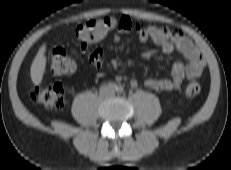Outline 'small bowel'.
I'll return each instance as SVG.
<instances>
[{
	"instance_id": "c3829d8e",
	"label": "small bowel",
	"mask_w": 231,
	"mask_h": 170,
	"mask_svg": "<svg viewBox=\"0 0 231 170\" xmlns=\"http://www.w3.org/2000/svg\"><path fill=\"white\" fill-rule=\"evenodd\" d=\"M118 32L114 36V41L119 43L121 35L135 30L139 39L146 41L151 39L163 53L179 51L187 60V64L182 62L174 63L171 70V78H149L144 81V86L148 89L163 92H174L180 89L185 79H195L199 77L205 67V60L202 53L194 46L191 40L179 29H168L154 25H144L134 22L130 17L123 16L118 21ZM82 51L87 60L100 66L102 61V51L91 49L88 43H82ZM156 51H147L144 57L149 59L155 55ZM131 86L138 85L135 76L127 78Z\"/></svg>"
}]
</instances>
